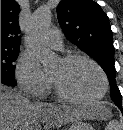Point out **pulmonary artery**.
<instances>
[{"mask_svg":"<svg viewBox=\"0 0 123 130\" xmlns=\"http://www.w3.org/2000/svg\"><path fill=\"white\" fill-rule=\"evenodd\" d=\"M47 43L55 49H62L63 46V39L62 34L58 29H50L47 33L46 37Z\"/></svg>","mask_w":123,"mask_h":130,"instance_id":"1","label":"pulmonary artery"}]
</instances>
